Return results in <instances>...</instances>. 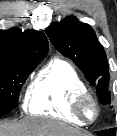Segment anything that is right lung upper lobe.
Instances as JSON below:
<instances>
[{
    "instance_id": "right-lung-upper-lobe-1",
    "label": "right lung upper lobe",
    "mask_w": 117,
    "mask_h": 136,
    "mask_svg": "<svg viewBox=\"0 0 117 136\" xmlns=\"http://www.w3.org/2000/svg\"><path fill=\"white\" fill-rule=\"evenodd\" d=\"M49 45L41 31L11 28L0 30V60L32 61L43 59Z\"/></svg>"
}]
</instances>
